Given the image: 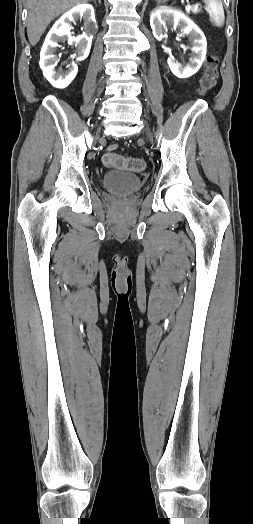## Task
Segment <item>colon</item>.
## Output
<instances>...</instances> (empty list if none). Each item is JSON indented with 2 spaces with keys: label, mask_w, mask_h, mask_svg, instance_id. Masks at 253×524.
<instances>
[{
  "label": "colon",
  "mask_w": 253,
  "mask_h": 524,
  "mask_svg": "<svg viewBox=\"0 0 253 524\" xmlns=\"http://www.w3.org/2000/svg\"><path fill=\"white\" fill-rule=\"evenodd\" d=\"M219 58L216 55H211L206 62L205 73L200 80L199 91L201 93H207L214 88L216 85L219 72ZM103 163L107 167H114L121 170L142 172L146 163L141 158L136 157H123L114 152H108L103 156Z\"/></svg>",
  "instance_id": "colon-1"
}]
</instances>
